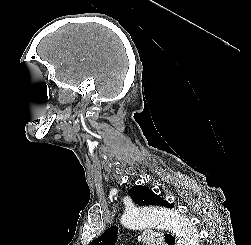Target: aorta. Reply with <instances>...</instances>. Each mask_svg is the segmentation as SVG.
<instances>
[{
	"label": "aorta",
	"instance_id": "762f6f07",
	"mask_svg": "<svg viewBox=\"0 0 251 245\" xmlns=\"http://www.w3.org/2000/svg\"><path fill=\"white\" fill-rule=\"evenodd\" d=\"M121 224L130 229L163 227L177 237L176 245H199V234L191 221L176 211L155 207H134L121 217Z\"/></svg>",
	"mask_w": 251,
	"mask_h": 245
}]
</instances>
